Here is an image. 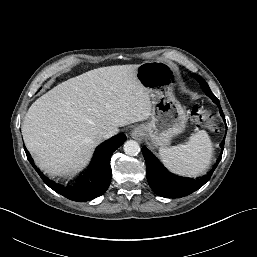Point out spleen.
<instances>
[{
    "mask_svg": "<svg viewBox=\"0 0 257 257\" xmlns=\"http://www.w3.org/2000/svg\"><path fill=\"white\" fill-rule=\"evenodd\" d=\"M159 155L173 173L196 177L203 174L211 163L213 146L205 130L192 134L185 144L161 147Z\"/></svg>",
    "mask_w": 257,
    "mask_h": 257,
    "instance_id": "spleen-1",
    "label": "spleen"
}]
</instances>
